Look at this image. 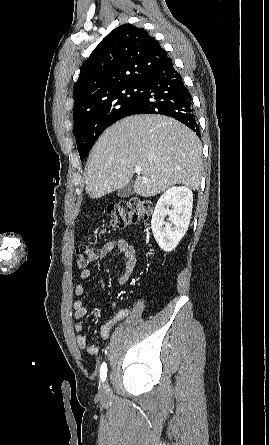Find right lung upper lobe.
Wrapping results in <instances>:
<instances>
[{"instance_id":"1","label":"right lung upper lobe","mask_w":269,"mask_h":445,"mask_svg":"<svg viewBox=\"0 0 269 445\" xmlns=\"http://www.w3.org/2000/svg\"><path fill=\"white\" fill-rule=\"evenodd\" d=\"M170 58L142 28L123 24L112 30L82 65L74 88V110L89 99L125 85L143 84Z\"/></svg>"}]
</instances>
